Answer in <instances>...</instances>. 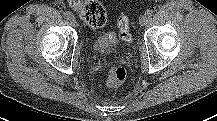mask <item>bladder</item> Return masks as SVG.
Here are the masks:
<instances>
[{
	"label": "bladder",
	"mask_w": 217,
	"mask_h": 121,
	"mask_svg": "<svg viewBox=\"0 0 217 121\" xmlns=\"http://www.w3.org/2000/svg\"><path fill=\"white\" fill-rule=\"evenodd\" d=\"M110 47V44L108 42V40L106 38H99L96 42H95V49L97 51H105Z\"/></svg>",
	"instance_id": "31cf9c89"
}]
</instances>
